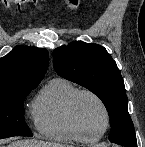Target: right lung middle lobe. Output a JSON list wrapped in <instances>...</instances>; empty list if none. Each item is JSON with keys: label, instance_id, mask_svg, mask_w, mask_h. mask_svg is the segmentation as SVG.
<instances>
[{"label": "right lung middle lobe", "instance_id": "obj_1", "mask_svg": "<svg viewBox=\"0 0 145 147\" xmlns=\"http://www.w3.org/2000/svg\"><path fill=\"white\" fill-rule=\"evenodd\" d=\"M36 86L12 88L0 92V139L32 136L24 120V99Z\"/></svg>", "mask_w": 145, "mask_h": 147}]
</instances>
